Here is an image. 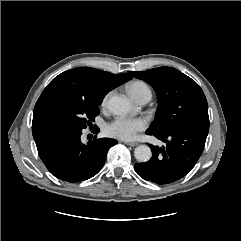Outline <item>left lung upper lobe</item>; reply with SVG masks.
I'll return each mask as SVG.
<instances>
[{
	"mask_svg": "<svg viewBox=\"0 0 241 241\" xmlns=\"http://www.w3.org/2000/svg\"><path fill=\"white\" fill-rule=\"evenodd\" d=\"M132 76L150 84L159 107L148 131L164 134L196 123H209L208 105L200 86L172 67H159Z\"/></svg>",
	"mask_w": 241,
	"mask_h": 241,
	"instance_id": "5c2ea615",
	"label": "left lung upper lobe"
}]
</instances>
